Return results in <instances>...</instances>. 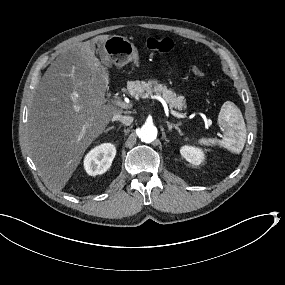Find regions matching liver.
Returning a JSON list of instances; mask_svg holds the SVG:
<instances>
[{"label": "liver", "instance_id": "obj_1", "mask_svg": "<svg viewBox=\"0 0 285 285\" xmlns=\"http://www.w3.org/2000/svg\"><path fill=\"white\" fill-rule=\"evenodd\" d=\"M108 35L79 42L51 63L28 115L27 148L50 186L61 190L86 149L123 110L106 103L109 72L95 56ZM102 60L109 61L102 54Z\"/></svg>", "mask_w": 285, "mask_h": 285}]
</instances>
